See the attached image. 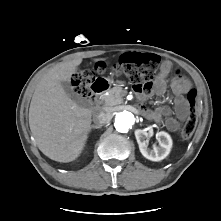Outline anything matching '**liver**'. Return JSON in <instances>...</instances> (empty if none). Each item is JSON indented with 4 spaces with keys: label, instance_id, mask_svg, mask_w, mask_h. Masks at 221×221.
Instances as JSON below:
<instances>
[{
    "label": "liver",
    "instance_id": "6515ba94",
    "mask_svg": "<svg viewBox=\"0 0 221 221\" xmlns=\"http://www.w3.org/2000/svg\"><path fill=\"white\" fill-rule=\"evenodd\" d=\"M81 62V58L62 62L48 70L37 83L30 103L29 126L35 142L44 155L58 162L77 159L90 132L93 110L76 104L61 85Z\"/></svg>",
    "mask_w": 221,
    "mask_h": 221
}]
</instances>
